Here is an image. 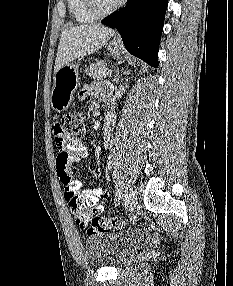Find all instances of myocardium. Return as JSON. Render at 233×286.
<instances>
[{
    "mask_svg": "<svg viewBox=\"0 0 233 286\" xmlns=\"http://www.w3.org/2000/svg\"><path fill=\"white\" fill-rule=\"evenodd\" d=\"M86 6L91 14H93L96 18H102L110 15L115 12L122 4V1H117L113 6L108 9H102L99 6L98 0H85Z\"/></svg>",
    "mask_w": 233,
    "mask_h": 286,
    "instance_id": "obj_1",
    "label": "myocardium"
}]
</instances>
